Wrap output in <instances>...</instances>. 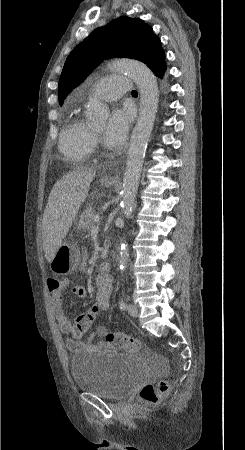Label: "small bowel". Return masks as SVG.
I'll return each mask as SVG.
<instances>
[{
    "mask_svg": "<svg viewBox=\"0 0 245 450\" xmlns=\"http://www.w3.org/2000/svg\"><path fill=\"white\" fill-rule=\"evenodd\" d=\"M96 300L97 307L101 310H107L110 307V298L113 290V279L110 274L99 275L96 282ZM69 292L70 294L86 298L87 290L80 285L70 286V280L66 279L62 288L51 292V308L60 329L69 335L72 329V324L63 308V294ZM107 333L106 328L100 327L96 332L90 334L84 340H75L73 338H66L68 350L77 355L82 351H91L96 348L109 349L111 345L105 341H97V338L103 337Z\"/></svg>",
    "mask_w": 245,
    "mask_h": 450,
    "instance_id": "small-bowel-1",
    "label": "small bowel"
}]
</instances>
